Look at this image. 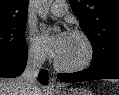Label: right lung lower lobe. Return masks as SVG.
<instances>
[{"instance_id":"right-lung-lower-lobe-1","label":"right lung lower lobe","mask_w":119,"mask_h":95,"mask_svg":"<svg viewBox=\"0 0 119 95\" xmlns=\"http://www.w3.org/2000/svg\"><path fill=\"white\" fill-rule=\"evenodd\" d=\"M27 63V45L20 51H0V77H16L22 74ZM48 72L39 74L42 84L47 82Z\"/></svg>"}]
</instances>
